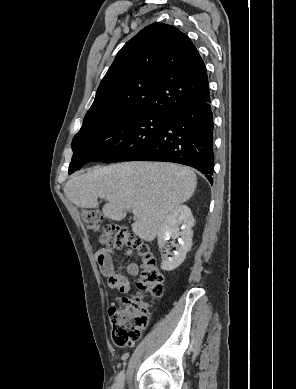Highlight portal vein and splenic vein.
I'll use <instances>...</instances> for the list:
<instances>
[{
	"mask_svg": "<svg viewBox=\"0 0 296 389\" xmlns=\"http://www.w3.org/2000/svg\"><path fill=\"white\" fill-rule=\"evenodd\" d=\"M132 212H133V214H136V213H137V211H136V210H134V209L132 210Z\"/></svg>",
	"mask_w": 296,
	"mask_h": 389,
	"instance_id": "portal-vein-and-splenic-vein-1",
	"label": "portal vein and splenic vein"
}]
</instances>
